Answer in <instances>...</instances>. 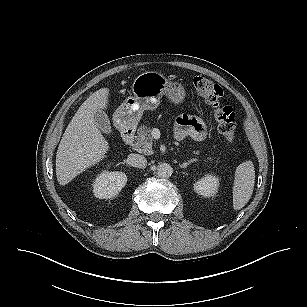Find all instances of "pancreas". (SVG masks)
Wrapping results in <instances>:
<instances>
[{
	"mask_svg": "<svg viewBox=\"0 0 307 307\" xmlns=\"http://www.w3.org/2000/svg\"><path fill=\"white\" fill-rule=\"evenodd\" d=\"M137 134L136 141L132 145L133 149L145 155L152 154L153 137L151 135V128L143 125L138 128ZM195 154H198V152H195Z\"/></svg>",
	"mask_w": 307,
	"mask_h": 307,
	"instance_id": "cf45deb5",
	"label": "pancreas"
}]
</instances>
